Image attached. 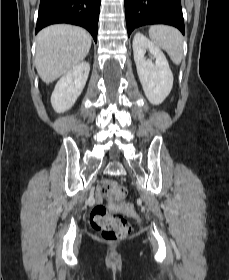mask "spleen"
<instances>
[{"label":"spleen","mask_w":229,"mask_h":280,"mask_svg":"<svg viewBox=\"0 0 229 280\" xmlns=\"http://www.w3.org/2000/svg\"><path fill=\"white\" fill-rule=\"evenodd\" d=\"M152 42L165 50L173 63L179 65L183 57V37L174 27L167 25H153L149 29Z\"/></svg>","instance_id":"obj_1"}]
</instances>
